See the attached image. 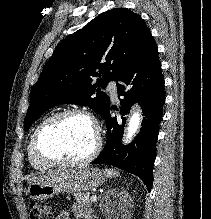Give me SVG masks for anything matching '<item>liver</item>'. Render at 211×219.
<instances>
[{
  "mask_svg": "<svg viewBox=\"0 0 211 219\" xmlns=\"http://www.w3.org/2000/svg\"><path fill=\"white\" fill-rule=\"evenodd\" d=\"M75 170H63L49 172L46 175L34 177L31 183H54L70 178L74 174Z\"/></svg>",
  "mask_w": 211,
  "mask_h": 219,
  "instance_id": "liver-1",
  "label": "liver"
}]
</instances>
